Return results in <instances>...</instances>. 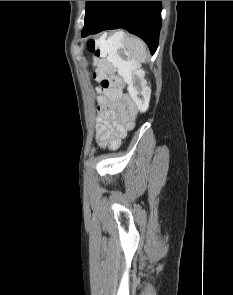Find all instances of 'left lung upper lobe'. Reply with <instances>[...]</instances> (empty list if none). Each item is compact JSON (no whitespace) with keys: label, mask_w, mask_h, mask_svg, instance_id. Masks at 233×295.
Here are the masks:
<instances>
[{"label":"left lung upper lobe","mask_w":233,"mask_h":295,"mask_svg":"<svg viewBox=\"0 0 233 295\" xmlns=\"http://www.w3.org/2000/svg\"><path fill=\"white\" fill-rule=\"evenodd\" d=\"M96 1H86V11H85V19L88 17L90 14V11Z\"/></svg>","instance_id":"left-lung-upper-lobe-1"}]
</instances>
